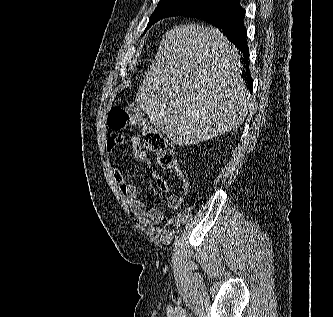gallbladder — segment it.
Listing matches in <instances>:
<instances>
[{
	"mask_svg": "<svg viewBox=\"0 0 333 317\" xmlns=\"http://www.w3.org/2000/svg\"><path fill=\"white\" fill-rule=\"evenodd\" d=\"M130 109L134 114H137L139 116H142L146 113L145 110L141 108L136 102L130 104Z\"/></svg>",
	"mask_w": 333,
	"mask_h": 317,
	"instance_id": "obj_1",
	"label": "gallbladder"
}]
</instances>
